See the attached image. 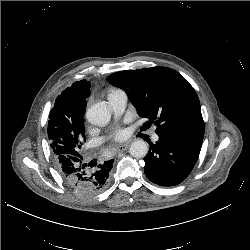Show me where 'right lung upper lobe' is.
Segmentation results:
<instances>
[{"mask_svg":"<svg viewBox=\"0 0 250 250\" xmlns=\"http://www.w3.org/2000/svg\"><path fill=\"white\" fill-rule=\"evenodd\" d=\"M90 82L77 81L64 90L50 111L49 120L56 121L60 127L71 129L84 120L86 98L90 95ZM51 124V123H50Z\"/></svg>","mask_w":250,"mask_h":250,"instance_id":"obj_1","label":"right lung upper lobe"}]
</instances>
